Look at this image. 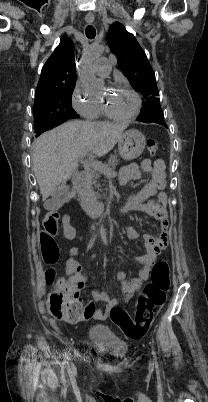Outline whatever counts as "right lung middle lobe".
<instances>
[{"label": "right lung middle lobe", "mask_w": 208, "mask_h": 402, "mask_svg": "<svg viewBox=\"0 0 208 402\" xmlns=\"http://www.w3.org/2000/svg\"><path fill=\"white\" fill-rule=\"evenodd\" d=\"M74 87L75 83L66 84L36 94L33 107L35 121L52 117L61 121L78 118L71 104ZM35 131L38 136L39 131Z\"/></svg>", "instance_id": "obj_1"}]
</instances>
